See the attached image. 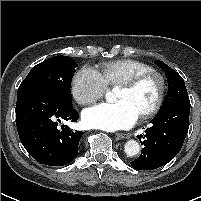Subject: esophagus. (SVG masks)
I'll return each mask as SVG.
<instances>
[{
  "label": "esophagus",
  "instance_id": "1",
  "mask_svg": "<svg viewBox=\"0 0 201 201\" xmlns=\"http://www.w3.org/2000/svg\"><path fill=\"white\" fill-rule=\"evenodd\" d=\"M117 136L122 139H128L130 137L129 133H117Z\"/></svg>",
  "mask_w": 201,
  "mask_h": 201
}]
</instances>
